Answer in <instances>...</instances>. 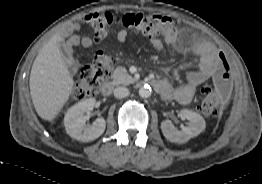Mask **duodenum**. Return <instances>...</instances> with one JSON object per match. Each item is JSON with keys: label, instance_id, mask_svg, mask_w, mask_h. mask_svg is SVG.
<instances>
[{"label": "duodenum", "instance_id": "410a0bca", "mask_svg": "<svg viewBox=\"0 0 262 184\" xmlns=\"http://www.w3.org/2000/svg\"><path fill=\"white\" fill-rule=\"evenodd\" d=\"M141 84H148L149 86L153 87L154 89H157L159 87V81L158 80H153V79L142 81ZM113 88H114V83L112 81L106 82L102 86V89H101L102 94L104 96L111 95V93L113 91Z\"/></svg>", "mask_w": 262, "mask_h": 184}]
</instances>
